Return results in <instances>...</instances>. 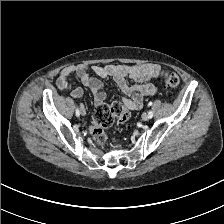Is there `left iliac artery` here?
<instances>
[{"label": "left iliac artery", "mask_w": 224, "mask_h": 224, "mask_svg": "<svg viewBox=\"0 0 224 224\" xmlns=\"http://www.w3.org/2000/svg\"><path fill=\"white\" fill-rule=\"evenodd\" d=\"M148 105L151 106L152 105V102H149ZM148 115H149V118H152L153 117V112L150 110L148 112Z\"/></svg>", "instance_id": "44dca946"}]
</instances>
